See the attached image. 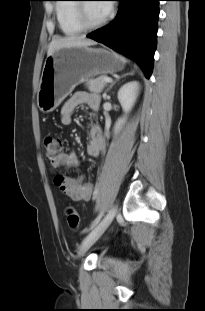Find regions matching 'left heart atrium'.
Here are the masks:
<instances>
[{"label":"left heart atrium","instance_id":"obj_1","mask_svg":"<svg viewBox=\"0 0 205 311\" xmlns=\"http://www.w3.org/2000/svg\"><path fill=\"white\" fill-rule=\"evenodd\" d=\"M102 2H112V1H102ZM103 11L106 15H108L112 10V4L111 3H102Z\"/></svg>","mask_w":205,"mask_h":311}]
</instances>
